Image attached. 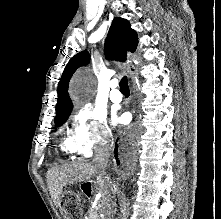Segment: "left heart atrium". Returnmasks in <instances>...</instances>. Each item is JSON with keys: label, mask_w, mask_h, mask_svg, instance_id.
<instances>
[{"label": "left heart atrium", "mask_w": 221, "mask_h": 219, "mask_svg": "<svg viewBox=\"0 0 221 219\" xmlns=\"http://www.w3.org/2000/svg\"><path fill=\"white\" fill-rule=\"evenodd\" d=\"M122 121V117L118 114H113L112 116V123L113 124H118Z\"/></svg>", "instance_id": "1"}]
</instances>
